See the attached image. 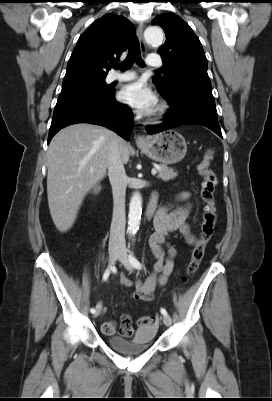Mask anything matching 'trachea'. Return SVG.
<instances>
[{
  "label": "trachea",
  "mask_w": 272,
  "mask_h": 401,
  "mask_svg": "<svg viewBox=\"0 0 272 401\" xmlns=\"http://www.w3.org/2000/svg\"><path fill=\"white\" fill-rule=\"evenodd\" d=\"M134 62L141 67L144 66V61L141 57L140 46L137 38H133L131 40L129 51L124 62L121 64H112V67L114 69H120L121 71H124L130 69Z\"/></svg>",
  "instance_id": "obj_1"
}]
</instances>
